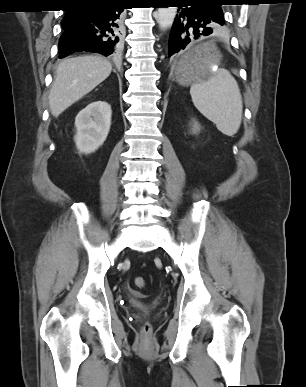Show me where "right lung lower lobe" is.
Segmentation results:
<instances>
[{
	"label": "right lung lower lobe",
	"instance_id": "98d812e1",
	"mask_svg": "<svg viewBox=\"0 0 306 387\" xmlns=\"http://www.w3.org/2000/svg\"><path fill=\"white\" fill-rule=\"evenodd\" d=\"M126 4L124 0H111L70 9L68 13L75 22L63 27L59 58L79 51L117 55L121 48L122 19Z\"/></svg>",
	"mask_w": 306,
	"mask_h": 387
}]
</instances>
